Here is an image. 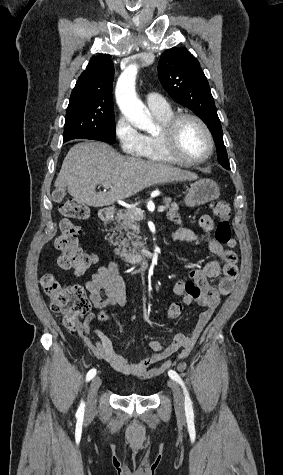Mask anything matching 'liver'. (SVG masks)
I'll return each instance as SVG.
<instances>
[{"label":"liver","instance_id":"6515ba94","mask_svg":"<svg viewBox=\"0 0 283 475\" xmlns=\"http://www.w3.org/2000/svg\"><path fill=\"white\" fill-rule=\"evenodd\" d=\"M197 174L167 164L121 156L104 142H82L70 148L55 182L57 190L67 188L78 204L93 208L110 206L150 188L154 184L197 180ZM112 182L109 192H95L98 184Z\"/></svg>","mask_w":283,"mask_h":475}]
</instances>
